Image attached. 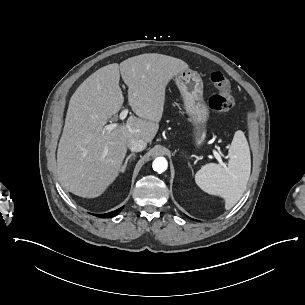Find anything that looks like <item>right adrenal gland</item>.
Masks as SVG:
<instances>
[{"label": "right adrenal gland", "instance_id": "1", "mask_svg": "<svg viewBox=\"0 0 305 305\" xmlns=\"http://www.w3.org/2000/svg\"><path fill=\"white\" fill-rule=\"evenodd\" d=\"M131 157H135V153H131V154L126 158L125 163H124V165H123L122 168H121V172H124V171H125V169H126V167H127V164H128V161H129V159H130Z\"/></svg>", "mask_w": 305, "mask_h": 305}]
</instances>
